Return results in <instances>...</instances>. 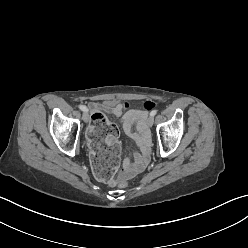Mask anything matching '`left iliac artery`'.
<instances>
[{
  "label": "left iliac artery",
  "mask_w": 248,
  "mask_h": 248,
  "mask_svg": "<svg viewBox=\"0 0 248 248\" xmlns=\"http://www.w3.org/2000/svg\"><path fill=\"white\" fill-rule=\"evenodd\" d=\"M156 113H157V110H153V111H151L150 116L154 117L156 115Z\"/></svg>",
  "instance_id": "44dca946"
}]
</instances>
